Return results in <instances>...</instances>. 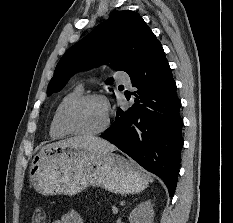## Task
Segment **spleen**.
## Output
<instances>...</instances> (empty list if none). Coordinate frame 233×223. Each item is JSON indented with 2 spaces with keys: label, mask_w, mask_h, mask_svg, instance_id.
I'll list each match as a JSON object with an SVG mask.
<instances>
[{
  "label": "spleen",
  "mask_w": 233,
  "mask_h": 223,
  "mask_svg": "<svg viewBox=\"0 0 233 223\" xmlns=\"http://www.w3.org/2000/svg\"><path fill=\"white\" fill-rule=\"evenodd\" d=\"M148 179L149 181H154L153 177H150V175H148Z\"/></svg>",
  "instance_id": "obj_1"
}]
</instances>
